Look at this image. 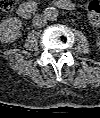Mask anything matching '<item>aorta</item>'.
Here are the masks:
<instances>
[{"label": "aorta", "instance_id": "aorta-1", "mask_svg": "<svg viewBox=\"0 0 100 118\" xmlns=\"http://www.w3.org/2000/svg\"><path fill=\"white\" fill-rule=\"evenodd\" d=\"M47 20L49 21H55L59 15V11L57 8L55 7H47L44 10V14H43Z\"/></svg>", "mask_w": 100, "mask_h": 118}]
</instances>
